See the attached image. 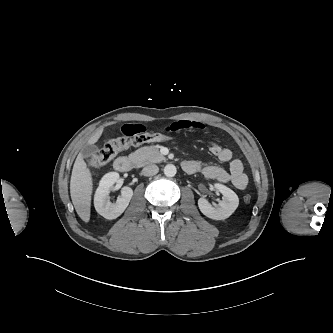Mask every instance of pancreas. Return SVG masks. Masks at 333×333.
Returning a JSON list of instances; mask_svg holds the SVG:
<instances>
[{"label": "pancreas", "instance_id": "1", "mask_svg": "<svg viewBox=\"0 0 333 333\" xmlns=\"http://www.w3.org/2000/svg\"><path fill=\"white\" fill-rule=\"evenodd\" d=\"M130 159L138 167L150 163L165 161V157L159 152L156 146H144L129 155Z\"/></svg>", "mask_w": 333, "mask_h": 333}]
</instances>
